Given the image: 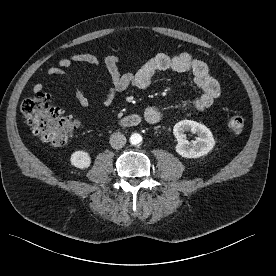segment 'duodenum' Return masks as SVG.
Returning a JSON list of instances; mask_svg holds the SVG:
<instances>
[{"instance_id": "obj_1", "label": "duodenum", "mask_w": 276, "mask_h": 276, "mask_svg": "<svg viewBox=\"0 0 276 276\" xmlns=\"http://www.w3.org/2000/svg\"><path fill=\"white\" fill-rule=\"evenodd\" d=\"M119 122L124 127H135L140 124L141 118L137 114H130L121 118Z\"/></svg>"}]
</instances>
